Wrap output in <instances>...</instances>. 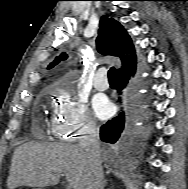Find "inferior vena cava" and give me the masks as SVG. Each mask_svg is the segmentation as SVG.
<instances>
[{"instance_id":"1","label":"inferior vena cava","mask_w":188,"mask_h":189,"mask_svg":"<svg viewBox=\"0 0 188 189\" xmlns=\"http://www.w3.org/2000/svg\"><path fill=\"white\" fill-rule=\"evenodd\" d=\"M79 150L87 157L90 164L85 189H102L103 167L98 130L93 122H88L81 129Z\"/></svg>"}]
</instances>
